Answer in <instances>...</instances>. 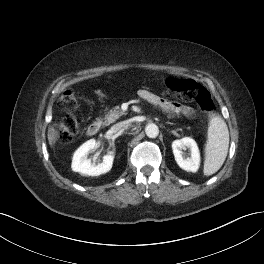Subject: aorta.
I'll return each mask as SVG.
<instances>
[{"instance_id": "aorta-1", "label": "aorta", "mask_w": 264, "mask_h": 264, "mask_svg": "<svg viewBox=\"0 0 264 264\" xmlns=\"http://www.w3.org/2000/svg\"><path fill=\"white\" fill-rule=\"evenodd\" d=\"M145 132L149 138H156L159 134V128L156 124L151 123L145 127Z\"/></svg>"}]
</instances>
